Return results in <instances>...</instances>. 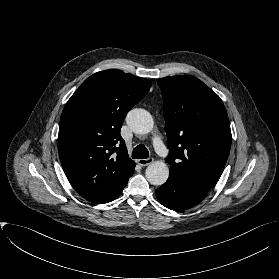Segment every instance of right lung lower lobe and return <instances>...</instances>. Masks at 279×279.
I'll return each mask as SVG.
<instances>
[{
    "label": "right lung lower lobe",
    "instance_id": "98d812e1",
    "mask_svg": "<svg viewBox=\"0 0 279 279\" xmlns=\"http://www.w3.org/2000/svg\"><path fill=\"white\" fill-rule=\"evenodd\" d=\"M121 192H122V191H121ZM121 192H119L116 196H114V197H113L112 199H110L108 202H110V201L116 199V198L120 195ZM106 203H107V202H106Z\"/></svg>",
    "mask_w": 279,
    "mask_h": 279
}]
</instances>
